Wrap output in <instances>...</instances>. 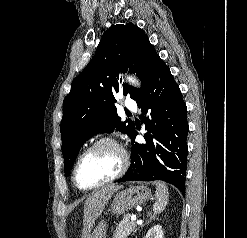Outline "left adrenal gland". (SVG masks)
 Returning a JSON list of instances; mask_svg holds the SVG:
<instances>
[{
    "instance_id": "1",
    "label": "left adrenal gland",
    "mask_w": 247,
    "mask_h": 238,
    "mask_svg": "<svg viewBox=\"0 0 247 238\" xmlns=\"http://www.w3.org/2000/svg\"><path fill=\"white\" fill-rule=\"evenodd\" d=\"M149 214V213H148ZM149 216H150V219L146 222V223H144L143 225H141V227H143L144 225H146L147 223H149V222H151L153 219H155V217L154 216H151V214H149ZM140 228H138V229H136L135 230V232L137 231V230H139Z\"/></svg>"
}]
</instances>
